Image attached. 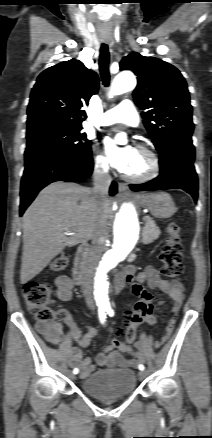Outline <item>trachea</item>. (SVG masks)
Wrapping results in <instances>:
<instances>
[{"label":"trachea","instance_id":"3493384b","mask_svg":"<svg viewBox=\"0 0 212 438\" xmlns=\"http://www.w3.org/2000/svg\"><path fill=\"white\" fill-rule=\"evenodd\" d=\"M109 62L110 55L108 45L102 44L100 47L99 70L105 87H108L110 83Z\"/></svg>","mask_w":212,"mask_h":438}]
</instances>
